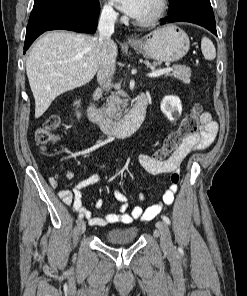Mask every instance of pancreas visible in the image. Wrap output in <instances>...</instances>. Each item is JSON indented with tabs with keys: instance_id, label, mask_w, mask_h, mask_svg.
Masks as SVG:
<instances>
[{
	"instance_id": "1",
	"label": "pancreas",
	"mask_w": 247,
	"mask_h": 296,
	"mask_svg": "<svg viewBox=\"0 0 247 296\" xmlns=\"http://www.w3.org/2000/svg\"><path fill=\"white\" fill-rule=\"evenodd\" d=\"M148 67L155 68L157 63H150L149 61L144 62ZM166 76H172L176 79L181 80L183 83H189L191 77V69L184 65H175L172 72L166 73ZM126 93L117 87L116 92L107 101L104 111L108 117L113 119H120L122 111H127L128 101L125 99Z\"/></svg>"
}]
</instances>
